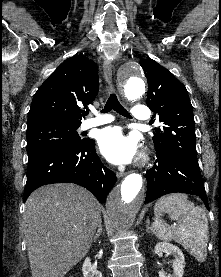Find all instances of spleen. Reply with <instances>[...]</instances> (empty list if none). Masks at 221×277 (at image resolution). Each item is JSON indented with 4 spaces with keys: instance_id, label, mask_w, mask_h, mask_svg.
<instances>
[{
    "instance_id": "1",
    "label": "spleen",
    "mask_w": 221,
    "mask_h": 277,
    "mask_svg": "<svg viewBox=\"0 0 221 277\" xmlns=\"http://www.w3.org/2000/svg\"><path fill=\"white\" fill-rule=\"evenodd\" d=\"M162 212L170 214L177 221V226L171 227L159 219ZM154 214L152 230L157 238L163 241L174 240L197 261H205L209 232L203 208L195 207L185 194L174 193L163 196L156 202Z\"/></svg>"
}]
</instances>
